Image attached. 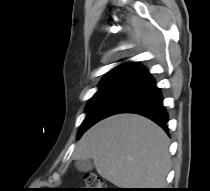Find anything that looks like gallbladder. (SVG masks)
Instances as JSON below:
<instances>
[{
  "label": "gallbladder",
  "instance_id": "bac80fb5",
  "mask_svg": "<svg viewBox=\"0 0 210 191\" xmlns=\"http://www.w3.org/2000/svg\"><path fill=\"white\" fill-rule=\"evenodd\" d=\"M75 167L78 171L88 172L93 169V163L89 159H78L75 161Z\"/></svg>",
  "mask_w": 210,
  "mask_h": 191
}]
</instances>
